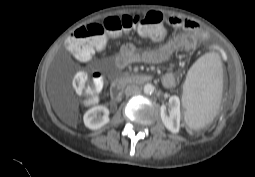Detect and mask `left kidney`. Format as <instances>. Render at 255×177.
Masks as SVG:
<instances>
[{"mask_svg": "<svg viewBox=\"0 0 255 177\" xmlns=\"http://www.w3.org/2000/svg\"><path fill=\"white\" fill-rule=\"evenodd\" d=\"M169 114L166 113V107H161V119L165 127L172 133L179 132L180 127V99L177 96H171L169 99Z\"/></svg>", "mask_w": 255, "mask_h": 177, "instance_id": "obj_1", "label": "left kidney"}]
</instances>
